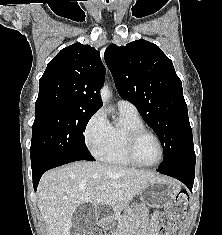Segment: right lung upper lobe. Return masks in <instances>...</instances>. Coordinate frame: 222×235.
Returning a JSON list of instances; mask_svg holds the SVG:
<instances>
[{
	"mask_svg": "<svg viewBox=\"0 0 222 235\" xmlns=\"http://www.w3.org/2000/svg\"><path fill=\"white\" fill-rule=\"evenodd\" d=\"M104 78L105 68L95 48L75 43L62 49L39 80L35 113L53 106L96 112L102 106Z\"/></svg>",
	"mask_w": 222,
	"mask_h": 235,
	"instance_id": "right-lung-upper-lobe-1",
	"label": "right lung upper lobe"
}]
</instances>
